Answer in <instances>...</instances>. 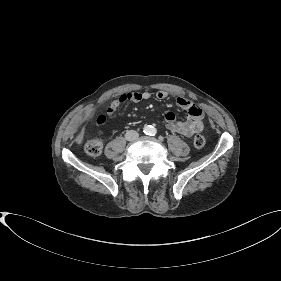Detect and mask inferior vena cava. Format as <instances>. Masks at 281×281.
I'll return each instance as SVG.
<instances>
[{
	"instance_id": "1",
	"label": "inferior vena cava",
	"mask_w": 281,
	"mask_h": 281,
	"mask_svg": "<svg viewBox=\"0 0 281 281\" xmlns=\"http://www.w3.org/2000/svg\"><path fill=\"white\" fill-rule=\"evenodd\" d=\"M139 137V134L137 131H134V130H129L126 132L125 134V138L126 140L128 141H134L136 140L137 138Z\"/></svg>"
}]
</instances>
